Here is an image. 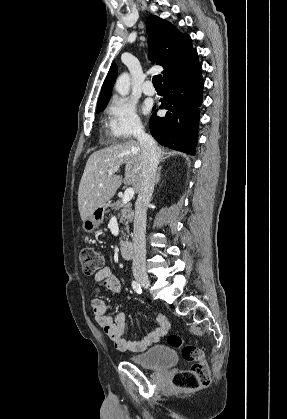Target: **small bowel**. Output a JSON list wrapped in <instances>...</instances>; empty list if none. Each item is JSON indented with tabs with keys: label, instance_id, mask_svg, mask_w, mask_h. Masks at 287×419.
I'll return each instance as SVG.
<instances>
[{
	"label": "small bowel",
	"instance_id": "small-bowel-1",
	"mask_svg": "<svg viewBox=\"0 0 287 419\" xmlns=\"http://www.w3.org/2000/svg\"><path fill=\"white\" fill-rule=\"evenodd\" d=\"M95 286L103 285L113 293L120 291V283L109 267L98 271L94 276ZM92 313L97 324L104 330L116 349L120 351L142 352L152 344L166 336L170 330V322L163 313L157 315L158 327L146 337L126 339V318L122 312L114 316L107 315L110 306L100 297H94L91 301Z\"/></svg>",
	"mask_w": 287,
	"mask_h": 419
}]
</instances>
